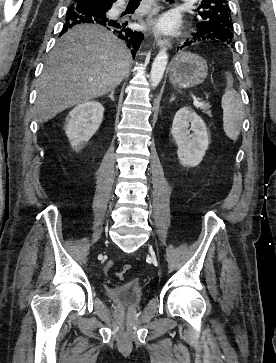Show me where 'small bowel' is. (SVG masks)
Wrapping results in <instances>:
<instances>
[{"instance_id":"1","label":"small bowel","mask_w":276,"mask_h":363,"mask_svg":"<svg viewBox=\"0 0 276 363\" xmlns=\"http://www.w3.org/2000/svg\"><path fill=\"white\" fill-rule=\"evenodd\" d=\"M112 263H113L112 261H111V262H109L108 267H110V266L112 265Z\"/></svg>"}]
</instances>
